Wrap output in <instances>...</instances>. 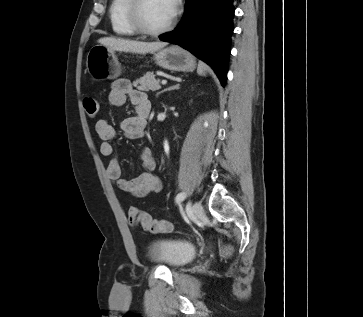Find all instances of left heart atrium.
Returning <instances> with one entry per match:
<instances>
[{
    "label": "left heart atrium",
    "instance_id": "39dd6f15",
    "mask_svg": "<svg viewBox=\"0 0 363 317\" xmlns=\"http://www.w3.org/2000/svg\"><path fill=\"white\" fill-rule=\"evenodd\" d=\"M171 4L172 10L174 11L177 5V0H168Z\"/></svg>",
    "mask_w": 363,
    "mask_h": 317
}]
</instances>
